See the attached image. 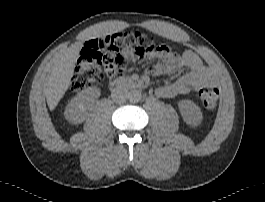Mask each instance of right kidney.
<instances>
[{
  "instance_id": "ca27d5eb",
  "label": "right kidney",
  "mask_w": 265,
  "mask_h": 202,
  "mask_svg": "<svg viewBox=\"0 0 265 202\" xmlns=\"http://www.w3.org/2000/svg\"><path fill=\"white\" fill-rule=\"evenodd\" d=\"M100 89L88 88L79 92L66 106L64 116L74 124L82 123L86 119L87 111L100 97Z\"/></svg>"
}]
</instances>
